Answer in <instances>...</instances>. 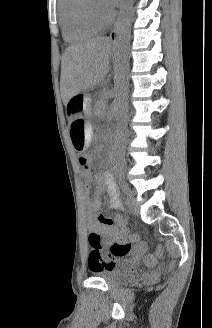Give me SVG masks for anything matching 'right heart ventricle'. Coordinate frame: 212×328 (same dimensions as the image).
I'll return each mask as SVG.
<instances>
[{
    "mask_svg": "<svg viewBox=\"0 0 212 328\" xmlns=\"http://www.w3.org/2000/svg\"><path fill=\"white\" fill-rule=\"evenodd\" d=\"M86 0H59V18L64 38L68 42L89 39L102 31L85 14Z\"/></svg>",
    "mask_w": 212,
    "mask_h": 328,
    "instance_id": "e07e8e85",
    "label": "right heart ventricle"
}]
</instances>
